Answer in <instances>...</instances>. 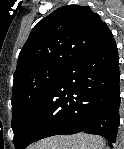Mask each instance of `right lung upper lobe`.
Returning <instances> with one entry per match:
<instances>
[{
	"label": "right lung upper lobe",
	"instance_id": "right-lung-upper-lobe-1",
	"mask_svg": "<svg viewBox=\"0 0 124 149\" xmlns=\"http://www.w3.org/2000/svg\"><path fill=\"white\" fill-rule=\"evenodd\" d=\"M112 39L106 23L88 6H62L31 31L19 54L14 81L42 66L64 68Z\"/></svg>",
	"mask_w": 124,
	"mask_h": 149
}]
</instances>
